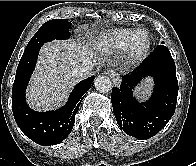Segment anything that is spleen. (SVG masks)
I'll return each instance as SVG.
<instances>
[{
    "label": "spleen",
    "instance_id": "3e777b00",
    "mask_svg": "<svg viewBox=\"0 0 196 166\" xmlns=\"http://www.w3.org/2000/svg\"><path fill=\"white\" fill-rule=\"evenodd\" d=\"M149 83H151L150 78L147 79V83H145L142 87H140L138 91L139 92L141 91L143 94L148 93L149 92V87H150Z\"/></svg>",
    "mask_w": 196,
    "mask_h": 166
}]
</instances>
